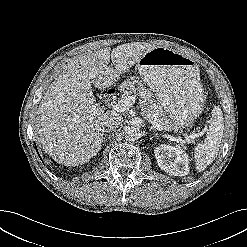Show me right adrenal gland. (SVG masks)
Returning <instances> with one entry per match:
<instances>
[{
	"label": "right adrenal gland",
	"instance_id": "2a0ac1e0",
	"mask_svg": "<svg viewBox=\"0 0 247 247\" xmlns=\"http://www.w3.org/2000/svg\"><path fill=\"white\" fill-rule=\"evenodd\" d=\"M111 130H113V129L109 128V129L104 130V133H103V135H104L103 139L104 140L103 141H105V138L107 136V133L111 132Z\"/></svg>",
	"mask_w": 247,
	"mask_h": 247
}]
</instances>
